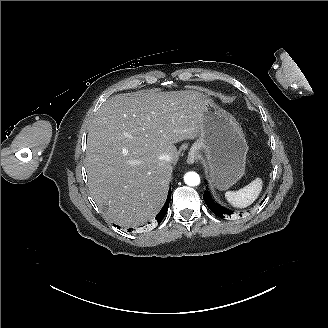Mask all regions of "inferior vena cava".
Masks as SVG:
<instances>
[{
  "mask_svg": "<svg viewBox=\"0 0 328 328\" xmlns=\"http://www.w3.org/2000/svg\"><path fill=\"white\" fill-rule=\"evenodd\" d=\"M160 159L161 160H165V161H170L171 160V157H170V155L169 154H162L161 156H160Z\"/></svg>",
  "mask_w": 328,
  "mask_h": 328,
  "instance_id": "inferior-vena-cava-1",
  "label": "inferior vena cava"
}]
</instances>
